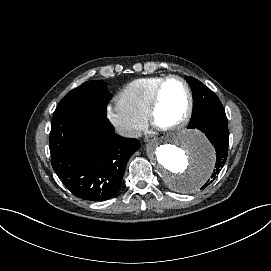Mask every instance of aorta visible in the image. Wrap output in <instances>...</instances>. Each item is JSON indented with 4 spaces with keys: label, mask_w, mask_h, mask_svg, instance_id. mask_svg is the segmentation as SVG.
Wrapping results in <instances>:
<instances>
[{
    "label": "aorta",
    "mask_w": 271,
    "mask_h": 271,
    "mask_svg": "<svg viewBox=\"0 0 271 271\" xmlns=\"http://www.w3.org/2000/svg\"><path fill=\"white\" fill-rule=\"evenodd\" d=\"M155 171L179 193H195L213 173L215 150L199 131L172 132L147 146Z\"/></svg>",
    "instance_id": "1"
}]
</instances>
